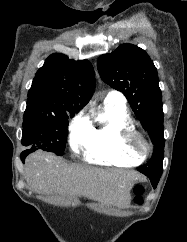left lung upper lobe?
Here are the masks:
<instances>
[{"mask_svg":"<svg viewBox=\"0 0 187 242\" xmlns=\"http://www.w3.org/2000/svg\"><path fill=\"white\" fill-rule=\"evenodd\" d=\"M102 80L122 92L154 145L152 158L138 168L145 175L161 176L164 158L162 96L157 69L148 54L132 44H122L98 59Z\"/></svg>","mask_w":187,"mask_h":242,"instance_id":"obj_1","label":"left lung upper lobe"}]
</instances>
